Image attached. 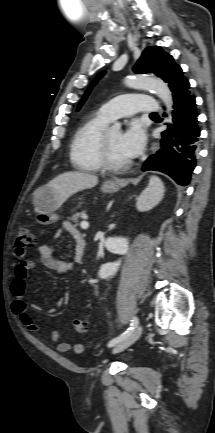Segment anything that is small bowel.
Instances as JSON below:
<instances>
[{
  "instance_id": "1",
  "label": "small bowel",
  "mask_w": 215,
  "mask_h": 433,
  "mask_svg": "<svg viewBox=\"0 0 215 433\" xmlns=\"http://www.w3.org/2000/svg\"><path fill=\"white\" fill-rule=\"evenodd\" d=\"M63 231H67L75 241L73 260L68 261L56 258L54 249L47 244L40 245L37 249L42 263L59 274L69 273L73 264L80 262L84 256L81 247L85 243V240L80 231L72 223L65 222L63 228L56 233V237H60ZM34 266L35 263L32 260H21L16 264L14 268V278L10 284V292L14 297V314L25 327L31 331L37 332L39 331V326L34 322L30 310H37L38 308L25 299L27 281ZM59 338V331H53L50 335L51 341L57 342L56 349L58 352L66 353L73 347L75 352L80 353L84 349L81 343H75L72 346L71 343L67 341H59Z\"/></svg>"
}]
</instances>
